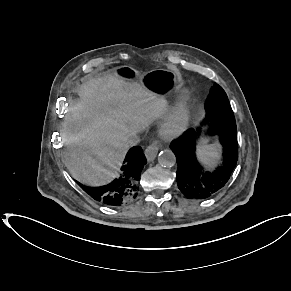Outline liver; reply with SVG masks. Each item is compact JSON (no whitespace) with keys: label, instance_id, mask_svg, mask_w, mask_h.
Wrapping results in <instances>:
<instances>
[{"label":"liver","instance_id":"1","mask_svg":"<svg viewBox=\"0 0 291 291\" xmlns=\"http://www.w3.org/2000/svg\"><path fill=\"white\" fill-rule=\"evenodd\" d=\"M63 123L66 164L83 184L100 186L118 176L131 132H142L166 110L163 97L112 70L88 77Z\"/></svg>","mask_w":291,"mask_h":291}]
</instances>
